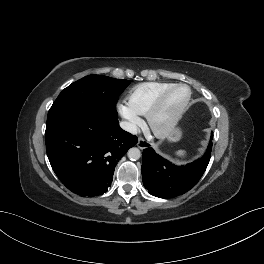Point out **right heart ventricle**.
<instances>
[{
  "label": "right heart ventricle",
  "instance_id": "obj_1",
  "mask_svg": "<svg viewBox=\"0 0 264 264\" xmlns=\"http://www.w3.org/2000/svg\"><path fill=\"white\" fill-rule=\"evenodd\" d=\"M169 82H144L134 86L127 95L128 106L138 115H146L157 96L167 87Z\"/></svg>",
  "mask_w": 264,
  "mask_h": 264
}]
</instances>
